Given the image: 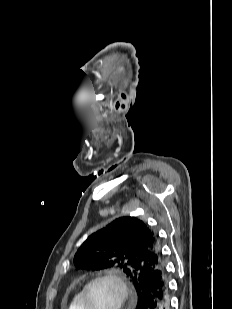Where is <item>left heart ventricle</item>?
<instances>
[{
    "label": "left heart ventricle",
    "instance_id": "left-heart-ventricle-1",
    "mask_svg": "<svg viewBox=\"0 0 232 309\" xmlns=\"http://www.w3.org/2000/svg\"><path fill=\"white\" fill-rule=\"evenodd\" d=\"M120 292L111 281L94 283L88 295L90 309H115L119 303Z\"/></svg>",
    "mask_w": 232,
    "mask_h": 309
}]
</instances>
